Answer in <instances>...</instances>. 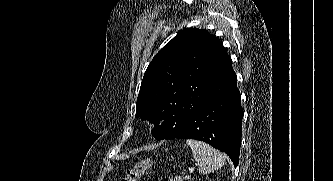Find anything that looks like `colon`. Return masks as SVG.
Masks as SVG:
<instances>
[{
	"label": "colon",
	"instance_id": "5ec220e1",
	"mask_svg": "<svg viewBox=\"0 0 333 181\" xmlns=\"http://www.w3.org/2000/svg\"><path fill=\"white\" fill-rule=\"evenodd\" d=\"M155 164L154 159L147 158L126 171V175L119 181H139L145 172L150 170Z\"/></svg>",
	"mask_w": 333,
	"mask_h": 181
}]
</instances>
